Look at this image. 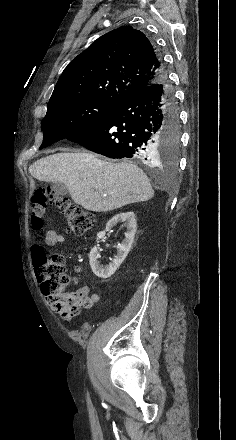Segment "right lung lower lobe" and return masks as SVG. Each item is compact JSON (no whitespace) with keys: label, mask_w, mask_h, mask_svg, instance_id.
<instances>
[{"label":"right lung lower lobe","mask_w":236,"mask_h":440,"mask_svg":"<svg viewBox=\"0 0 236 440\" xmlns=\"http://www.w3.org/2000/svg\"><path fill=\"white\" fill-rule=\"evenodd\" d=\"M158 63L162 75L154 83L91 128L67 139L106 157L151 162L161 133L179 128L178 112L159 56Z\"/></svg>","instance_id":"obj_1"}]
</instances>
